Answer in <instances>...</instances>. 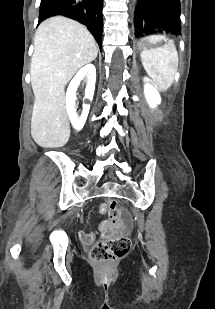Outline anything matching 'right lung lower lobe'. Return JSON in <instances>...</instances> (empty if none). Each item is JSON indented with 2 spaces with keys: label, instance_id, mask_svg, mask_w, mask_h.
Wrapping results in <instances>:
<instances>
[{
  "label": "right lung lower lobe",
  "instance_id": "right-lung-lower-lobe-1",
  "mask_svg": "<svg viewBox=\"0 0 215 309\" xmlns=\"http://www.w3.org/2000/svg\"><path fill=\"white\" fill-rule=\"evenodd\" d=\"M102 8L103 0H41L38 25L52 16L72 18L85 24L101 47Z\"/></svg>",
  "mask_w": 215,
  "mask_h": 309
}]
</instances>
